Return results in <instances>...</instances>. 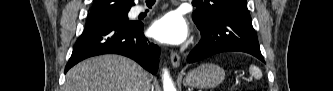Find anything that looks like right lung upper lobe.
Wrapping results in <instances>:
<instances>
[{"label":"right lung upper lobe","mask_w":333,"mask_h":91,"mask_svg":"<svg viewBox=\"0 0 333 91\" xmlns=\"http://www.w3.org/2000/svg\"><path fill=\"white\" fill-rule=\"evenodd\" d=\"M133 5L134 0H94L89 20H97L129 11Z\"/></svg>","instance_id":"right-lung-upper-lobe-1"}]
</instances>
